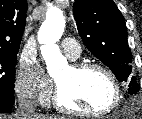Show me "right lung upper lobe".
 I'll list each match as a JSON object with an SVG mask.
<instances>
[{
  "label": "right lung upper lobe",
  "instance_id": "right-lung-upper-lobe-1",
  "mask_svg": "<svg viewBox=\"0 0 142 119\" xmlns=\"http://www.w3.org/2000/svg\"><path fill=\"white\" fill-rule=\"evenodd\" d=\"M26 12L27 0H0V51L19 50Z\"/></svg>",
  "mask_w": 142,
  "mask_h": 119
}]
</instances>
